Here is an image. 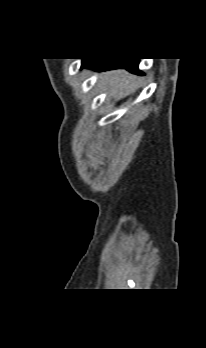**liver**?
Returning <instances> with one entry per match:
<instances>
[{
    "mask_svg": "<svg viewBox=\"0 0 206 348\" xmlns=\"http://www.w3.org/2000/svg\"><path fill=\"white\" fill-rule=\"evenodd\" d=\"M100 80L103 85H108L110 94L117 99L129 96L138 85V79L123 70L106 72Z\"/></svg>",
    "mask_w": 206,
    "mask_h": 348,
    "instance_id": "1",
    "label": "liver"
}]
</instances>
